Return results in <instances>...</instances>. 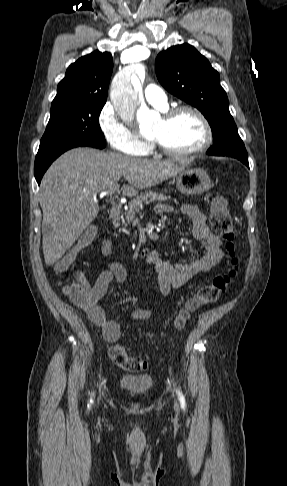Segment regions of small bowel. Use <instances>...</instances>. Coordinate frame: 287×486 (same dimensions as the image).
I'll return each instance as SVG.
<instances>
[{
	"instance_id": "small-bowel-1",
	"label": "small bowel",
	"mask_w": 287,
	"mask_h": 486,
	"mask_svg": "<svg viewBox=\"0 0 287 486\" xmlns=\"http://www.w3.org/2000/svg\"><path fill=\"white\" fill-rule=\"evenodd\" d=\"M155 212L159 215L169 214L173 209L165 204L155 207ZM181 213L191 222V234L195 244L203 250V254L189 263H174L164 258L158 251H152L146 258L157 273L159 291L161 295H168L172 289H179L200 273L210 271L217 266L224 258L225 253L222 248V240L214 234L207 224L205 215L194 205L186 204L181 207ZM100 251L103 257H109L113 251V243L110 239L101 242ZM89 295V301L84 306L90 321L99 327L103 338L109 343L116 342L120 335L118 323L106 316L105 310L100 305L101 298L106 294L108 286L112 280L123 283L126 279V271L117 262H109L90 284L82 274H78ZM152 314L151 310L138 309L131 313L134 320H146Z\"/></svg>"
}]
</instances>
